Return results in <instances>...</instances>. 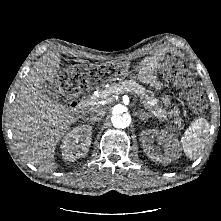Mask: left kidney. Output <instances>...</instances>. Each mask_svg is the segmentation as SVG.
<instances>
[{
    "instance_id": "1",
    "label": "left kidney",
    "mask_w": 221,
    "mask_h": 221,
    "mask_svg": "<svg viewBox=\"0 0 221 221\" xmlns=\"http://www.w3.org/2000/svg\"><path fill=\"white\" fill-rule=\"evenodd\" d=\"M153 138H157L162 147L166 149L164 154L154 148ZM140 140L147 156L156 162L168 163L178 155V142L167 130H162L161 132L153 130L143 131Z\"/></svg>"
}]
</instances>
